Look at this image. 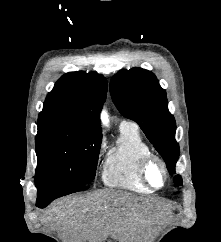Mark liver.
<instances>
[{
    "instance_id": "liver-1",
    "label": "liver",
    "mask_w": 221,
    "mask_h": 242,
    "mask_svg": "<svg viewBox=\"0 0 221 242\" xmlns=\"http://www.w3.org/2000/svg\"><path fill=\"white\" fill-rule=\"evenodd\" d=\"M161 204L131 193L103 190L57 200L43 222L56 229L63 242H147Z\"/></svg>"
}]
</instances>
